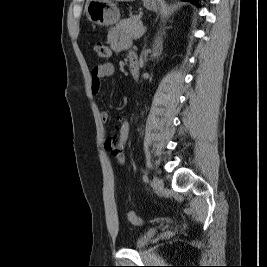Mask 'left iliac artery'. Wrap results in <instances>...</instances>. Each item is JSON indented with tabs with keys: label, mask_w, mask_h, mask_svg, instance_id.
<instances>
[{
	"label": "left iliac artery",
	"mask_w": 267,
	"mask_h": 267,
	"mask_svg": "<svg viewBox=\"0 0 267 267\" xmlns=\"http://www.w3.org/2000/svg\"><path fill=\"white\" fill-rule=\"evenodd\" d=\"M143 181L145 183H148V181H149L148 175L146 173L143 175Z\"/></svg>",
	"instance_id": "obj_1"
}]
</instances>
